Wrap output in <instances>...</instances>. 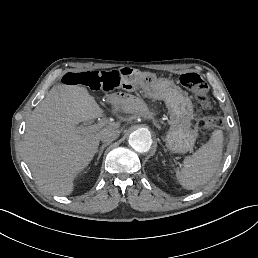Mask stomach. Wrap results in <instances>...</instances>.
<instances>
[{"instance_id": "0dacf381", "label": "stomach", "mask_w": 258, "mask_h": 258, "mask_svg": "<svg viewBox=\"0 0 258 258\" xmlns=\"http://www.w3.org/2000/svg\"><path fill=\"white\" fill-rule=\"evenodd\" d=\"M132 88L139 86L151 98L164 100L170 114V129L166 135V147L173 153H187L193 149L197 132L191 129L193 105L190 98L173 81L138 72L126 75Z\"/></svg>"}]
</instances>
